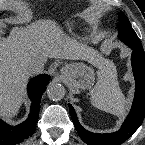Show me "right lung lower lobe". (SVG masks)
Segmentation results:
<instances>
[{
	"label": "right lung lower lobe",
	"mask_w": 145,
	"mask_h": 145,
	"mask_svg": "<svg viewBox=\"0 0 145 145\" xmlns=\"http://www.w3.org/2000/svg\"><path fill=\"white\" fill-rule=\"evenodd\" d=\"M49 79V75L42 74L30 80L27 90L32 104L30 114L23 123L11 126L0 119V145H16L34 133L39 116L40 99Z\"/></svg>",
	"instance_id": "98d812e1"
}]
</instances>
